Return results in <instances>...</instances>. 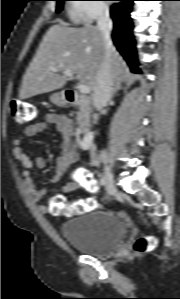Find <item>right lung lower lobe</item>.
I'll list each match as a JSON object with an SVG mask.
<instances>
[{
    "mask_svg": "<svg viewBox=\"0 0 180 299\" xmlns=\"http://www.w3.org/2000/svg\"><path fill=\"white\" fill-rule=\"evenodd\" d=\"M111 7V17L114 22L112 38L118 51L127 61L132 72L140 73L135 52V41L132 35L130 12L134 0H119Z\"/></svg>",
    "mask_w": 180,
    "mask_h": 299,
    "instance_id": "right-lung-lower-lobe-1",
    "label": "right lung lower lobe"
}]
</instances>
